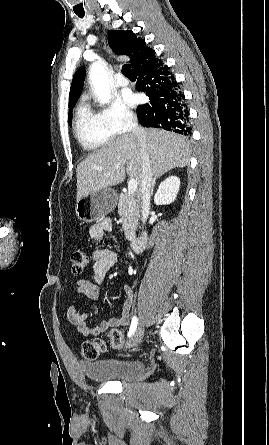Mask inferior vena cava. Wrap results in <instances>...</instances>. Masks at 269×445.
I'll return each mask as SVG.
<instances>
[{
    "instance_id": "602c4592",
    "label": "inferior vena cava",
    "mask_w": 269,
    "mask_h": 445,
    "mask_svg": "<svg viewBox=\"0 0 269 445\" xmlns=\"http://www.w3.org/2000/svg\"><path fill=\"white\" fill-rule=\"evenodd\" d=\"M129 129L139 140L141 159H142V174L140 181V194L139 198L141 201L142 209V220L143 223L147 220L148 211L150 208V196H151V186H152V174L149 163V156L147 153L146 142H145V131L140 127L135 118H131L129 121Z\"/></svg>"
}]
</instances>
